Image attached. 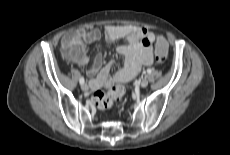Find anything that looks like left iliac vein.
Masks as SVG:
<instances>
[{
    "label": "left iliac vein",
    "mask_w": 230,
    "mask_h": 155,
    "mask_svg": "<svg viewBox=\"0 0 230 155\" xmlns=\"http://www.w3.org/2000/svg\"><path fill=\"white\" fill-rule=\"evenodd\" d=\"M140 86H141L142 88L147 87V86H148V80H147V79H142V80L140 81Z\"/></svg>",
    "instance_id": "obj_1"
}]
</instances>
